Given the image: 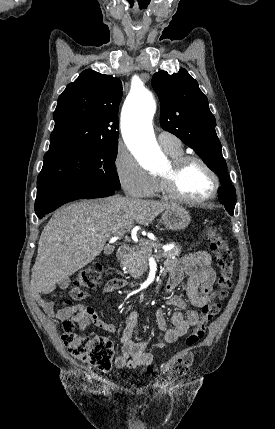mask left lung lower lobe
Instances as JSON below:
<instances>
[{"label":"left lung lower lobe","instance_id":"left-lung-lower-lobe-1","mask_svg":"<svg viewBox=\"0 0 275 429\" xmlns=\"http://www.w3.org/2000/svg\"><path fill=\"white\" fill-rule=\"evenodd\" d=\"M226 188L223 186V187H221L220 188V190H219V198H222V197H225L226 196Z\"/></svg>","mask_w":275,"mask_h":429}]
</instances>
